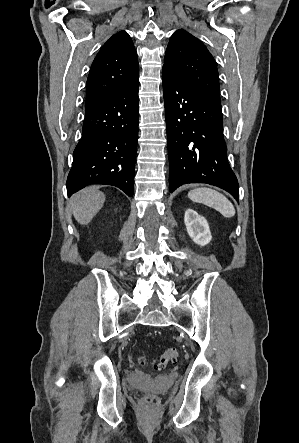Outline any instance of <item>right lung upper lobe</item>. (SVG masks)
<instances>
[{"instance_id": "1", "label": "right lung upper lobe", "mask_w": 299, "mask_h": 443, "mask_svg": "<svg viewBox=\"0 0 299 443\" xmlns=\"http://www.w3.org/2000/svg\"><path fill=\"white\" fill-rule=\"evenodd\" d=\"M135 47L125 31L113 35L101 48L90 69L86 84L88 110L138 80Z\"/></svg>"}]
</instances>
